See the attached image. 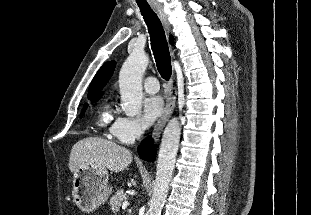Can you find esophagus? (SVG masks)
<instances>
[{
	"label": "esophagus",
	"mask_w": 311,
	"mask_h": 215,
	"mask_svg": "<svg viewBox=\"0 0 311 215\" xmlns=\"http://www.w3.org/2000/svg\"><path fill=\"white\" fill-rule=\"evenodd\" d=\"M156 13L158 14L161 22L163 23L165 29L167 32H169L170 30V23H169V19H168V14L165 12V10L163 9L162 6L158 5L154 7ZM174 79V76H173ZM175 108V96L171 95L168 98V101L166 103V106L163 110L162 115L160 116V118L158 119L154 130H153V137L155 140H157L166 124V122L168 121V119L170 118L173 110Z\"/></svg>",
	"instance_id": "obj_1"
}]
</instances>
